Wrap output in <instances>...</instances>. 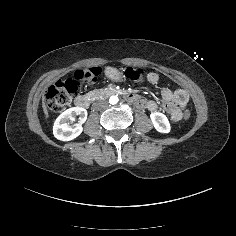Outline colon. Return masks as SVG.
<instances>
[{
    "label": "colon",
    "instance_id": "1",
    "mask_svg": "<svg viewBox=\"0 0 236 236\" xmlns=\"http://www.w3.org/2000/svg\"><path fill=\"white\" fill-rule=\"evenodd\" d=\"M99 74L100 69L98 67L81 69L77 70L72 78L54 83L48 89L45 97L49 110L53 113L62 112L78 93L80 83L94 82ZM126 76L135 83H141L147 78H152V76H149V72L142 68H129L126 70ZM190 116V110L186 109L183 118L187 120Z\"/></svg>",
    "mask_w": 236,
    "mask_h": 236
}]
</instances>
